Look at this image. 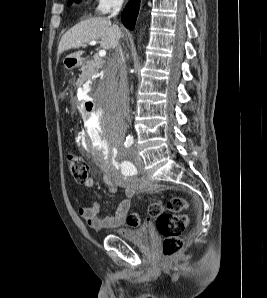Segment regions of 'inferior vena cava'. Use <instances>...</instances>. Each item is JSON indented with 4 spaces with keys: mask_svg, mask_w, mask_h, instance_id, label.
Listing matches in <instances>:
<instances>
[{
    "mask_svg": "<svg viewBox=\"0 0 267 298\" xmlns=\"http://www.w3.org/2000/svg\"><path fill=\"white\" fill-rule=\"evenodd\" d=\"M122 4H123V0H114L113 11L109 16V18L115 17L116 15H118L119 11L121 10ZM114 48H115V53L113 54V58L111 59V65H113L114 68L119 69L120 80H119L118 96H119L122 113L129 120L130 119V114H129L130 98H129L125 56L119 43H117V45Z\"/></svg>",
    "mask_w": 267,
    "mask_h": 298,
    "instance_id": "inferior-vena-cava-1",
    "label": "inferior vena cava"
}]
</instances>
